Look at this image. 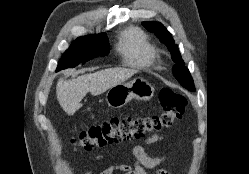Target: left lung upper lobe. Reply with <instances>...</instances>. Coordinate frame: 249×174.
<instances>
[{
  "mask_svg": "<svg viewBox=\"0 0 249 174\" xmlns=\"http://www.w3.org/2000/svg\"><path fill=\"white\" fill-rule=\"evenodd\" d=\"M142 25L150 32H153L162 43H164L169 51H171V57L176 65L173 67V74L180 84L190 91H194L193 79L189 73L187 67H185L184 61L181 58L179 49L175 45L171 34L160 23L155 21L142 22Z\"/></svg>",
  "mask_w": 249,
  "mask_h": 174,
  "instance_id": "1",
  "label": "left lung upper lobe"
}]
</instances>
